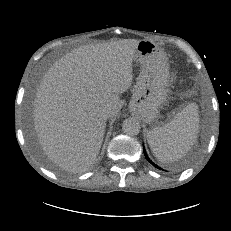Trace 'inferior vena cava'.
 <instances>
[{
	"mask_svg": "<svg viewBox=\"0 0 231 231\" xmlns=\"http://www.w3.org/2000/svg\"><path fill=\"white\" fill-rule=\"evenodd\" d=\"M100 117L102 119H108L110 117V112L108 109H103L101 112H100Z\"/></svg>",
	"mask_w": 231,
	"mask_h": 231,
	"instance_id": "obj_1",
	"label": "inferior vena cava"
}]
</instances>
